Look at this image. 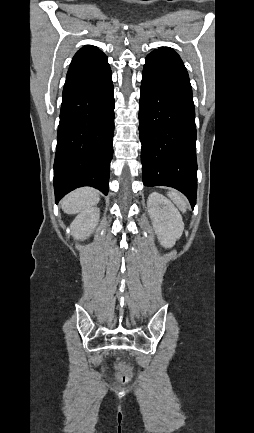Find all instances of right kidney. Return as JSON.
Listing matches in <instances>:
<instances>
[{
    "mask_svg": "<svg viewBox=\"0 0 254 433\" xmlns=\"http://www.w3.org/2000/svg\"><path fill=\"white\" fill-rule=\"evenodd\" d=\"M100 210L91 208L81 212L71 223V234L75 239L88 238L98 224Z\"/></svg>",
    "mask_w": 254,
    "mask_h": 433,
    "instance_id": "1",
    "label": "right kidney"
}]
</instances>
